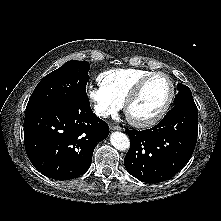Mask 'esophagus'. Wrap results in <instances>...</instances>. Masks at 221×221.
<instances>
[{
    "mask_svg": "<svg viewBox=\"0 0 221 221\" xmlns=\"http://www.w3.org/2000/svg\"><path fill=\"white\" fill-rule=\"evenodd\" d=\"M111 130H121V127L119 125H110Z\"/></svg>",
    "mask_w": 221,
    "mask_h": 221,
    "instance_id": "34e87169",
    "label": "esophagus"
}]
</instances>
